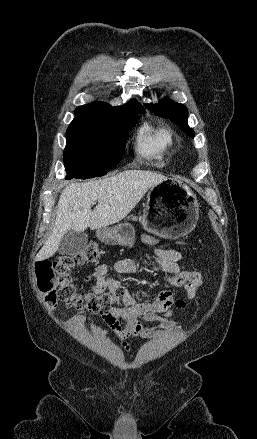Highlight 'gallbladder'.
Returning <instances> with one entry per match:
<instances>
[{
    "label": "gallbladder",
    "instance_id": "bac80fb5",
    "mask_svg": "<svg viewBox=\"0 0 257 439\" xmlns=\"http://www.w3.org/2000/svg\"><path fill=\"white\" fill-rule=\"evenodd\" d=\"M87 243L86 233L70 230L61 239L58 251L64 255H76L86 247Z\"/></svg>",
    "mask_w": 257,
    "mask_h": 439
}]
</instances>
